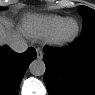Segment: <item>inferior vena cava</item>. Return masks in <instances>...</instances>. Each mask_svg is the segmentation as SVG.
I'll use <instances>...</instances> for the list:
<instances>
[{
	"label": "inferior vena cava",
	"mask_w": 95,
	"mask_h": 95,
	"mask_svg": "<svg viewBox=\"0 0 95 95\" xmlns=\"http://www.w3.org/2000/svg\"><path fill=\"white\" fill-rule=\"evenodd\" d=\"M9 46L13 51H15L17 53L25 52L28 48L26 41L23 39L15 40V41L11 42L9 44Z\"/></svg>",
	"instance_id": "inferior-vena-cava-1"
}]
</instances>
